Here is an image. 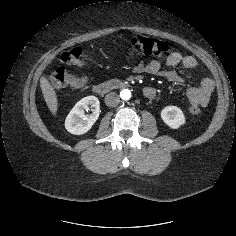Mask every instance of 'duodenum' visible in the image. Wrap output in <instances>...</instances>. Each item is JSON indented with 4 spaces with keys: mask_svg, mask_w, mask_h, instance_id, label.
Returning a JSON list of instances; mask_svg holds the SVG:
<instances>
[{
    "mask_svg": "<svg viewBox=\"0 0 236 236\" xmlns=\"http://www.w3.org/2000/svg\"><path fill=\"white\" fill-rule=\"evenodd\" d=\"M128 83L121 80H106L103 82H99L93 86V91L97 94L104 95L111 91L122 89L128 87ZM152 95V92H146L145 96Z\"/></svg>",
    "mask_w": 236,
    "mask_h": 236,
    "instance_id": "obj_1",
    "label": "duodenum"
}]
</instances>
